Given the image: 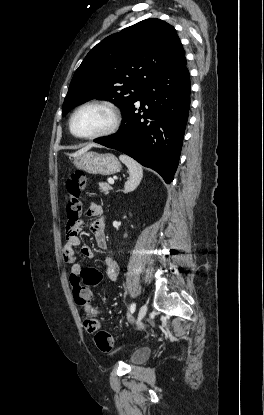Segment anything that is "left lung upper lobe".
Returning a JSON list of instances; mask_svg holds the SVG:
<instances>
[{
    "instance_id": "left-lung-upper-lobe-1",
    "label": "left lung upper lobe",
    "mask_w": 264,
    "mask_h": 415,
    "mask_svg": "<svg viewBox=\"0 0 264 415\" xmlns=\"http://www.w3.org/2000/svg\"><path fill=\"white\" fill-rule=\"evenodd\" d=\"M184 54L174 27L157 18L110 35L75 71L62 115L93 98L112 101L123 112L147 84L174 67Z\"/></svg>"
}]
</instances>
